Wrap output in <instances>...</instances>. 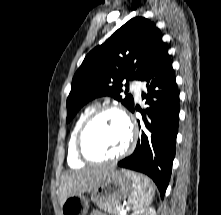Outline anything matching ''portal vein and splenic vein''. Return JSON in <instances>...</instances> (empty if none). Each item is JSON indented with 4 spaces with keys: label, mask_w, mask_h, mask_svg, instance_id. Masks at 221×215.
I'll use <instances>...</instances> for the list:
<instances>
[{
    "label": "portal vein and splenic vein",
    "mask_w": 221,
    "mask_h": 215,
    "mask_svg": "<svg viewBox=\"0 0 221 215\" xmlns=\"http://www.w3.org/2000/svg\"><path fill=\"white\" fill-rule=\"evenodd\" d=\"M128 208H126V210H127ZM126 210H122L121 212H120V215H124L125 214V212H126Z\"/></svg>",
    "instance_id": "18ae733b"
}]
</instances>
